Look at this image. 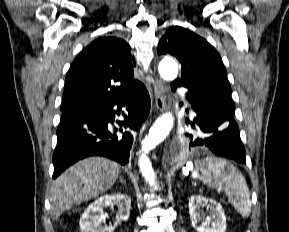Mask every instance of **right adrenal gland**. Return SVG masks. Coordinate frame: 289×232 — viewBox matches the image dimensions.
Here are the masks:
<instances>
[{"instance_id": "right-adrenal-gland-1", "label": "right adrenal gland", "mask_w": 289, "mask_h": 232, "mask_svg": "<svg viewBox=\"0 0 289 232\" xmlns=\"http://www.w3.org/2000/svg\"><path fill=\"white\" fill-rule=\"evenodd\" d=\"M119 182H120L121 184H124L123 178H122L121 176L119 177Z\"/></svg>"}]
</instances>
